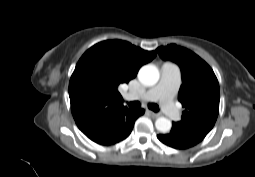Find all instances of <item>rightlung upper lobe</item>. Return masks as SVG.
<instances>
[{"mask_svg": "<svg viewBox=\"0 0 255 177\" xmlns=\"http://www.w3.org/2000/svg\"><path fill=\"white\" fill-rule=\"evenodd\" d=\"M129 42L107 40L88 49L78 61L69 83L71 111L79 128L123 107L118 88L135 78L153 58Z\"/></svg>", "mask_w": 255, "mask_h": 177, "instance_id": "obj_1", "label": "right lung upper lobe"}]
</instances>
